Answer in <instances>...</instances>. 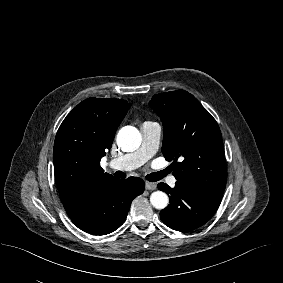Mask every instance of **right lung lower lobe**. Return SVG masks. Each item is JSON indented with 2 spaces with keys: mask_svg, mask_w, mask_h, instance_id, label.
<instances>
[{
  "mask_svg": "<svg viewBox=\"0 0 283 283\" xmlns=\"http://www.w3.org/2000/svg\"><path fill=\"white\" fill-rule=\"evenodd\" d=\"M144 188V181L138 177H129L127 180L116 178L103 184L70 218L78 228L87 233H111L123 224L132 200L142 194Z\"/></svg>",
  "mask_w": 283,
  "mask_h": 283,
  "instance_id": "right-lung-lower-lobe-1",
  "label": "right lung lower lobe"
}]
</instances>
